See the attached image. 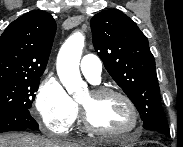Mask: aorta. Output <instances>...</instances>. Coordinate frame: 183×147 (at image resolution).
<instances>
[{"instance_id":"1","label":"aorta","mask_w":183,"mask_h":147,"mask_svg":"<svg viewBox=\"0 0 183 147\" xmlns=\"http://www.w3.org/2000/svg\"><path fill=\"white\" fill-rule=\"evenodd\" d=\"M84 41V35L81 32H75L62 45L57 57L59 79L74 98L87 89V84L82 80L79 70Z\"/></svg>"}]
</instances>
